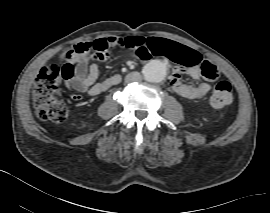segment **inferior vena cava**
I'll list each match as a JSON object with an SVG mask.
<instances>
[{
    "instance_id": "602c4592",
    "label": "inferior vena cava",
    "mask_w": 270,
    "mask_h": 213,
    "mask_svg": "<svg viewBox=\"0 0 270 213\" xmlns=\"http://www.w3.org/2000/svg\"><path fill=\"white\" fill-rule=\"evenodd\" d=\"M142 80V76L139 72H131L126 75L125 82L132 83V82H139Z\"/></svg>"
}]
</instances>
